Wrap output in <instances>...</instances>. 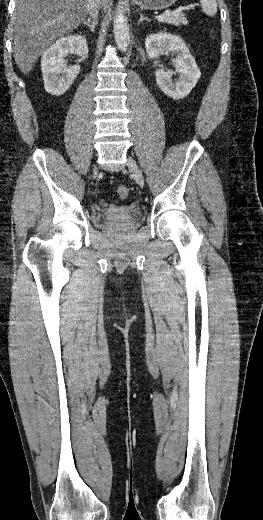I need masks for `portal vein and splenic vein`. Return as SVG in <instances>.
<instances>
[{"instance_id": "18ae733b", "label": "portal vein and splenic vein", "mask_w": 263, "mask_h": 520, "mask_svg": "<svg viewBox=\"0 0 263 520\" xmlns=\"http://www.w3.org/2000/svg\"><path fill=\"white\" fill-rule=\"evenodd\" d=\"M168 15H169V13H163V14H161V15H159V16L157 17V20H158L159 22H161V21H163L165 18H167Z\"/></svg>"}]
</instances>
